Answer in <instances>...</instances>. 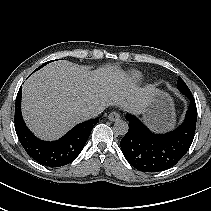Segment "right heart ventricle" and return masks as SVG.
<instances>
[{
	"label": "right heart ventricle",
	"instance_id": "right-heart-ventricle-1",
	"mask_svg": "<svg viewBox=\"0 0 211 211\" xmlns=\"http://www.w3.org/2000/svg\"><path fill=\"white\" fill-rule=\"evenodd\" d=\"M130 77H131L132 81H134V82H138L142 78L141 74L138 72H132Z\"/></svg>",
	"mask_w": 211,
	"mask_h": 211
}]
</instances>
